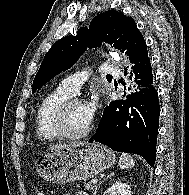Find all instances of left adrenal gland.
Returning <instances> with one entry per match:
<instances>
[{
  "label": "left adrenal gland",
  "mask_w": 189,
  "mask_h": 195,
  "mask_svg": "<svg viewBox=\"0 0 189 195\" xmlns=\"http://www.w3.org/2000/svg\"><path fill=\"white\" fill-rule=\"evenodd\" d=\"M112 176H114V172H112L111 174H109L106 178H104L101 182H99V184L97 186H95L94 190H93V195H96L97 189L98 187L108 178H111Z\"/></svg>",
  "instance_id": "1"
}]
</instances>
